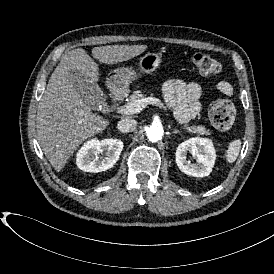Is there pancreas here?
<instances>
[{"label":"pancreas","mask_w":274,"mask_h":274,"mask_svg":"<svg viewBox=\"0 0 274 274\" xmlns=\"http://www.w3.org/2000/svg\"><path fill=\"white\" fill-rule=\"evenodd\" d=\"M143 97V94L140 91L133 92L132 95L129 97V103L134 102L135 100L141 99ZM185 129H187L189 132L197 133L199 135H209L210 132L207 130L204 126H184Z\"/></svg>","instance_id":"1"}]
</instances>
